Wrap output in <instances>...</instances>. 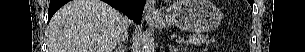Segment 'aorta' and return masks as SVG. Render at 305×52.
<instances>
[{
    "mask_svg": "<svg viewBox=\"0 0 305 52\" xmlns=\"http://www.w3.org/2000/svg\"><path fill=\"white\" fill-rule=\"evenodd\" d=\"M151 46L147 38L144 36L138 39L136 52H150Z\"/></svg>",
    "mask_w": 305,
    "mask_h": 52,
    "instance_id": "1",
    "label": "aorta"
}]
</instances>
